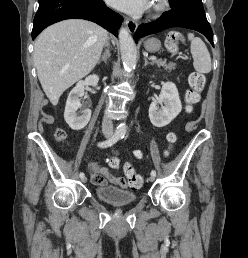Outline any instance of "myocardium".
Returning a JSON list of instances; mask_svg holds the SVG:
<instances>
[{"label":"myocardium","instance_id":"myocardium-1","mask_svg":"<svg viewBox=\"0 0 248 258\" xmlns=\"http://www.w3.org/2000/svg\"><path fill=\"white\" fill-rule=\"evenodd\" d=\"M168 6V0H155L152 6V13L157 15L162 13Z\"/></svg>","mask_w":248,"mask_h":258}]
</instances>
